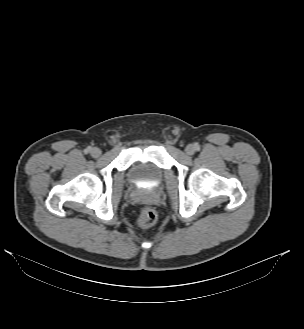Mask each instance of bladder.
<instances>
[{
  "instance_id": "bladder-1",
  "label": "bladder",
  "mask_w": 304,
  "mask_h": 329,
  "mask_svg": "<svg viewBox=\"0 0 304 329\" xmlns=\"http://www.w3.org/2000/svg\"><path fill=\"white\" fill-rule=\"evenodd\" d=\"M131 182L141 187H156L163 179L161 170L150 163L135 162L128 170Z\"/></svg>"
}]
</instances>
